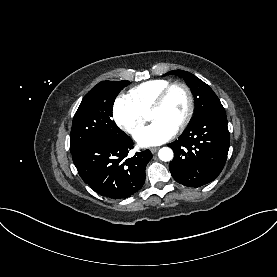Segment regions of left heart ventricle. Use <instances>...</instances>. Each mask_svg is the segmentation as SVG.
Returning <instances> with one entry per match:
<instances>
[{"label": "left heart ventricle", "instance_id": "1", "mask_svg": "<svg viewBox=\"0 0 277 277\" xmlns=\"http://www.w3.org/2000/svg\"><path fill=\"white\" fill-rule=\"evenodd\" d=\"M188 108V98L182 88H174L165 104L158 110L150 113L151 120H163L175 128L181 123Z\"/></svg>", "mask_w": 277, "mask_h": 277}]
</instances>
